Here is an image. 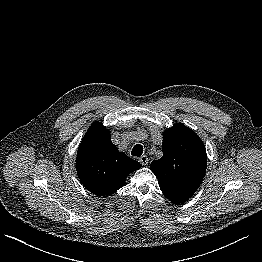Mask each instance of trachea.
<instances>
[{
	"mask_svg": "<svg viewBox=\"0 0 262 262\" xmlns=\"http://www.w3.org/2000/svg\"><path fill=\"white\" fill-rule=\"evenodd\" d=\"M142 153H143V147L140 144H136L131 151V154L135 157H140Z\"/></svg>",
	"mask_w": 262,
	"mask_h": 262,
	"instance_id": "trachea-1",
	"label": "trachea"
}]
</instances>
